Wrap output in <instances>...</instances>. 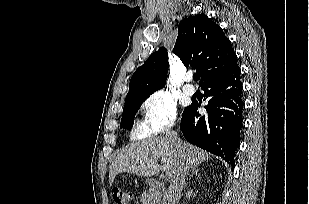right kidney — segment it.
Masks as SVG:
<instances>
[{"instance_id": "1", "label": "right kidney", "mask_w": 309, "mask_h": 204, "mask_svg": "<svg viewBox=\"0 0 309 204\" xmlns=\"http://www.w3.org/2000/svg\"><path fill=\"white\" fill-rule=\"evenodd\" d=\"M193 195V190H189L188 192H187V194H186V197L188 198V199H190V197Z\"/></svg>"}]
</instances>
